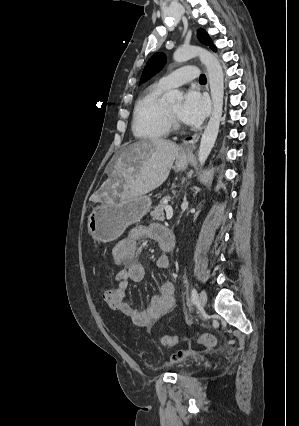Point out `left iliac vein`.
Here are the masks:
<instances>
[{"instance_id": "left-iliac-vein-1", "label": "left iliac vein", "mask_w": 299, "mask_h": 426, "mask_svg": "<svg viewBox=\"0 0 299 426\" xmlns=\"http://www.w3.org/2000/svg\"><path fill=\"white\" fill-rule=\"evenodd\" d=\"M206 302H207L206 292L204 290H201L199 293V305L201 309L204 308Z\"/></svg>"}]
</instances>
